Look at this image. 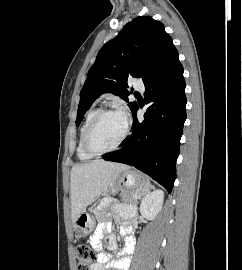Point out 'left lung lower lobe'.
<instances>
[{
	"label": "left lung lower lobe",
	"instance_id": "obj_1",
	"mask_svg": "<svg viewBox=\"0 0 242 270\" xmlns=\"http://www.w3.org/2000/svg\"><path fill=\"white\" fill-rule=\"evenodd\" d=\"M145 85L147 111L144 121L133 112L132 135L115 152L102 155L107 161L131 165L148 174L171 193L175 164L186 120L183 67L179 56L159 69Z\"/></svg>",
	"mask_w": 242,
	"mask_h": 270
}]
</instances>
